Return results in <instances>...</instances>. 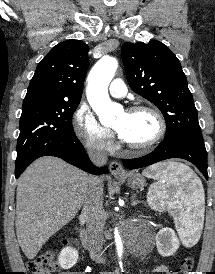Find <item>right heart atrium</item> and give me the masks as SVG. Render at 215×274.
Wrapping results in <instances>:
<instances>
[{"mask_svg":"<svg viewBox=\"0 0 215 274\" xmlns=\"http://www.w3.org/2000/svg\"><path fill=\"white\" fill-rule=\"evenodd\" d=\"M73 129L77 138L89 150L102 153L112 150L111 131L102 126L86 106L80 105L74 112Z\"/></svg>","mask_w":215,"mask_h":274,"instance_id":"obj_1","label":"right heart atrium"}]
</instances>
